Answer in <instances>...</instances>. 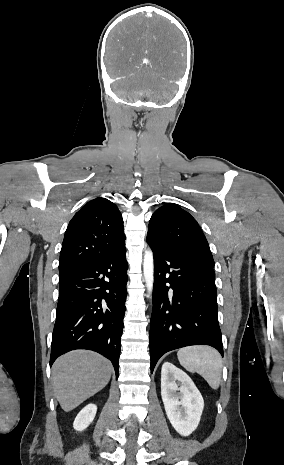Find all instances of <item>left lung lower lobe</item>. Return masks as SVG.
Returning <instances> with one entry per match:
<instances>
[{
	"label": "left lung lower lobe",
	"mask_w": 284,
	"mask_h": 465,
	"mask_svg": "<svg viewBox=\"0 0 284 465\" xmlns=\"http://www.w3.org/2000/svg\"><path fill=\"white\" fill-rule=\"evenodd\" d=\"M147 242L155 264L151 373L163 354L185 346L210 345L223 356L214 268Z\"/></svg>",
	"instance_id": "0a47b994"
}]
</instances>
